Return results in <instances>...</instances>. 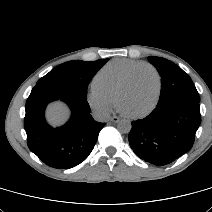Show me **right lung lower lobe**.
Wrapping results in <instances>:
<instances>
[{"label":"right lung lower lobe","instance_id":"1","mask_svg":"<svg viewBox=\"0 0 212 212\" xmlns=\"http://www.w3.org/2000/svg\"><path fill=\"white\" fill-rule=\"evenodd\" d=\"M62 100L71 109L70 120L59 128L47 124V104ZM27 145L39 159L56 169H69L91 153L105 123L96 122L86 96L67 89L33 88L25 105Z\"/></svg>","mask_w":212,"mask_h":212}]
</instances>
